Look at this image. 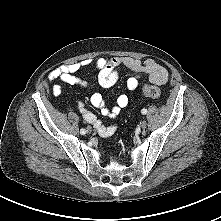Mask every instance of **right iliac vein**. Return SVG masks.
Returning a JSON list of instances; mask_svg holds the SVG:
<instances>
[{
    "mask_svg": "<svg viewBox=\"0 0 221 221\" xmlns=\"http://www.w3.org/2000/svg\"><path fill=\"white\" fill-rule=\"evenodd\" d=\"M90 132H91V128L88 127V128H87V133H90Z\"/></svg>",
    "mask_w": 221,
    "mask_h": 221,
    "instance_id": "63e3f726",
    "label": "right iliac vein"
}]
</instances>
